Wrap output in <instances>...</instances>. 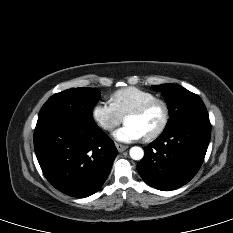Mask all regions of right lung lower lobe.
<instances>
[{"mask_svg":"<svg viewBox=\"0 0 233 233\" xmlns=\"http://www.w3.org/2000/svg\"><path fill=\"white\" fill-rule=\"evenodd\" d=\"M34 149L49 183L76 198L101 188L117 155L114 142L95 123L69 116L38 120Z\"/></svg>","mask_w":233,"mask_h":233,"instance_id":"1","label":"right lung lower lobe"}]
</instances>
